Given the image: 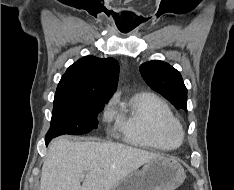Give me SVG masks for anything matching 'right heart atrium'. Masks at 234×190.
Instances as JSON below:
<instances>
[{"instance_id":"right-heart-atrium-1","label":"right heart atrium","mask_w":234,"mask_h":190,"mask_svg":"<svg viewBox=\"0 0 234 190\" xmlns=\"http://www.w3.org/2000/svg\"><path fill=\"white\" fill-rule=\"evenodd\" d=\"M114 118L113 101L111 100L104 108L103 119L108 122Z\"/></svg>"}]
</instances>
